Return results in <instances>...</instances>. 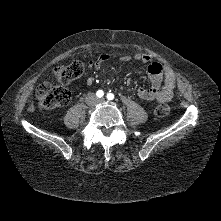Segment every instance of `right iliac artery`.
<instances>
[{
	"label": "right iliac artery",
	"mask_w": 221,
	"mask_h": 221,
	"mask_svg": "<svg viewBox=\"0 0 221 221\" xmlns=\"http://www.w3.org/2000/svg\"><path fill=\"white\" fill-rule=\"evenodd\" d=\"M96 95H97L98 98H101V97L104 96V92H103L102 90H98V91L96 92Z\"/></svg>",
	"instance_id": "1"
}]
</instances>
